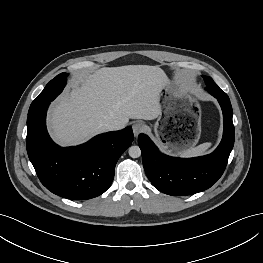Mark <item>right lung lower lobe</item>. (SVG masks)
<instances>
[{"label": "right lung lower lobe", "instance_id": "obj_1", "mask_svg": "<svg viewBox=\"0 0 263 263\" xmlns=\"http://www.w3.org/2000/svg\"><path fill=\"white\" fill-rule=\"evenodd\" d=\"M48 104L28 113L27 153L41 183L52 193L84 200L104 193L115 165L134 139L131 127L100 134L76 147H60L46 129Z\"/></svg>", "mask_w": 263, "mask_h": 263}]
</instances>
